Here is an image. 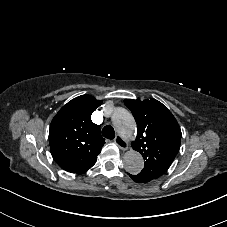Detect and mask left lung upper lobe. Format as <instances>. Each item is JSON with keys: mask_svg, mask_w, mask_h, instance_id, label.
Here are the masks:
<instances>
[{"mask_svg": "<svg viewBox=\"0 0 227 227\" xmlns=\"http://www.w3.org/2000/svg\"><path fill=\"white\" fill-rule=\"evenodd\" d=\"M124 103L137 123L132 147L145 160L138 175L157 179L170 167L180 149V126L168 108L155 99H125Z\"/></svg>", "mask_w": 227, "mask_h": 227, "instance_id": "left-lung-upper-lobe-1", "label": "left lung upper lobe"}]
</instances>
